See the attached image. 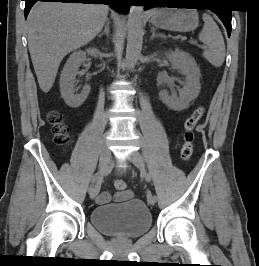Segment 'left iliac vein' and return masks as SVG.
Segmentation results:
<instances>
[{"mask_svg": "<svg viewBox=\"0 0 259 266\" xmlns=\"http://www.w3.org/2000/svg\"><path fill=\"white\" fill-rule=\"evenodd\" d=\"M130 161L141 171V173H145V164L143 157L137 151H134L129 156ZM147 201L150 205H154L157 200H154V197H147Z\"/></svg>", "mask_w": 259, "mask_h": 266, "instance_id": "1", "label": "left iliac vein"}]
</instances>
